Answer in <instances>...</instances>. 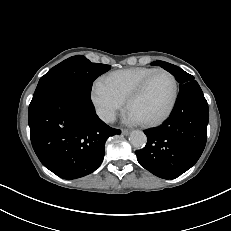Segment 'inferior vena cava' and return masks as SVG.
Returning <instances> with one entry per match:
<instances>
[{"instance_id": "1", "label": "inferior vena cava", "mask_w": 231, "mask_h": 231, "mask_svg": "<svg viewBox=\"0 0 231 231\" xmlns=\"http://www.w3.org/2000/svg\"><path fill=\"white\" fill-rule=\"evenodd\" d=\"M98 116L100 119H102L104 122H113L115 120V113L114 111L105 110V109H99L97 111Z\"/></svg>"}]
</instances>
